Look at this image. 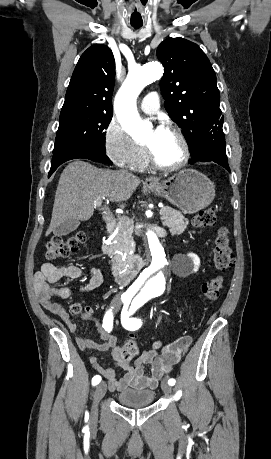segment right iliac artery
I'll return each instance as SVG.
<instances>
[{
	"mask_svg": "<svg viewBox=\"0 0 271 459\" xmlns=\"http://www.w3.org/2000/svg\"><path fill=\"white\" fill-rule=\"evenodd\" d=\"M124 302V304H126V306L128 307L130 301H125V300H122ZM102 327L109 333L112 331V328H113V314H112V310L110 309L109 311L106 312L104 318H103V324H102ZM101 381V376L99 375H96L92 378V385L95 386L97 384H99Z\"/></svg>",
	"mask_w": 271,
	"mask_h": 459,
	"instance_id": "82829eb1",
	"label": "right iliac artery"
}]
</instances>
